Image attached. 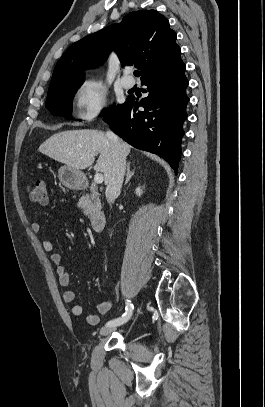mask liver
<instances>
[{
    "mask_svg": "<svg viewBox=\"0 0 265 407\" xmlns=\"http://www.w3.org/2000/svg\"><path fill=\"white\" fill-rule=\"evenodd\" d=\"M123 153L127 156L131 146L120 142ZM39 152L77 170L90 167L99 154L94 166L96 172L104 174V180L110 176L112 169V150L106 134L94 129L63 131L52 135L39 147Z\"/></svg>",
    "mask_w": 265,
    "mask_h": 407,
    "instance_id": "6515ba94",
    "label": "liver"
}]
</instances>
